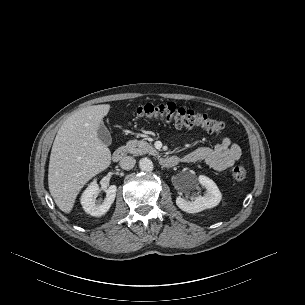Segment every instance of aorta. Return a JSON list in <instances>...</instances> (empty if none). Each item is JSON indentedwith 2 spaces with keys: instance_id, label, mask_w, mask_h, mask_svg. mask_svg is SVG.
<instances>
[{
  "instance_id": "762f6f07",
  "label": "aorta",
  "mask_w": 305,
  "mask_h": 305,
  "mask_svg": "<svg viewBox=\"0 0 305 305\" xmlns=\"http://www.w3.org/2000/svg\"><path fill=\"white\" fill-rule=\"evenodd\" d=\"M139 168L142 171L150 172L153 170V162L149 158H142L139 161Z\"/></svg>"
}]
</instances>
